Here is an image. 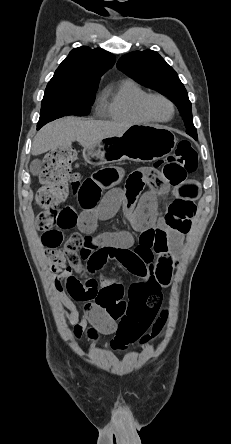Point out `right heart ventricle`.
I'll use <instances>...</instances> for the list:
<instances>
[{
    "label": "right heart ventricle",
    "mask_w": 231,
    "mask_h": 444,
    "mask_svg": "<svg viewBox=\"0 0 231 444\" xmlns=\"http://www.w3.org/2000/svg\"><path fill=\"white\" fill-rule=\"evenodd\" d=\"M148 92L136 81L126 79L113 92L107 93L102 113L108 119L127 124H147L151 120L146 118L140 104Z\"/></svg>",
    "instance_id": "obj_1"
}]
</instances>
